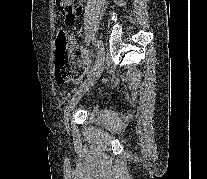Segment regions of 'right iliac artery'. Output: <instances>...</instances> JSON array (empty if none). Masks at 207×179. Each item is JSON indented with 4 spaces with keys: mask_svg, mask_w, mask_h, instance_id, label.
Listing matches in <instances>:
<instances>
[{
    "mask_svg": "<svg viewBox=\"0 0 207 179\" xmlns=\"http://www.w3.org/2000/svg\"><path fill=\"white\" fill-rule=\"evenodd\" d=\"M93 44H94V46L96 47V49H99V47H100V42H99V41L94 40V41H93ZM98 60H99V52H98V58H97V60H96V65H97ZM96 65L94 66V68L92 69L91 72H93V70L96 69ZM91 72H90V73H91Z\"/></svg>",
    "mask_w": 207,
    "mask_h": 179,
    "instance_id": "1",
    "label": "right iliac artery"
}]
</instances>
